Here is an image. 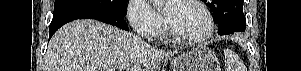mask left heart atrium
<instances>
[{"instance_id": "1", "label": "left heart atrium", "mask_w": 301, "mask_h": 71, "mask_svg": "<svg viewBox=\"0 0 301 71\" xmlns=\"http://www.w3.org/2000/svg\"><path fill=\"white\" fill-rule=\"evenodd\" d=\"M167 3H171V1H167Z\"/></svg>"}]
</instances>
